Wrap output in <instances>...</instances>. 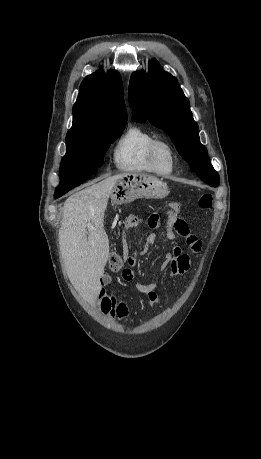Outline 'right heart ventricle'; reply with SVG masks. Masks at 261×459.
<instances>
[{
    "mask_svg": "<svg viewBox=\"0 0 261 459\" xmlns=\"http://www.w3.org/2000/svg\"><path fill=\"white\" fill-rule=\"evenodd\" d=\"M156 139L155 134L146 128H128L114 147L113 159L116 167L124 172L154 173L149 162V148Z\"/></svg>",
    "mask_w": 261,
    "mask_h": 459,
    "instance_id": "1",
    "label": "right heart ventricle"
}]
</instances>
